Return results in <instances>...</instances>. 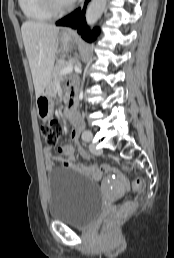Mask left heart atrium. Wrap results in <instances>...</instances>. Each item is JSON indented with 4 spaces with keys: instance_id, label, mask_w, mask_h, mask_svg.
I'll return each instance as SVG.
<instances>
[{
    "instance_id": "1",
    "label": "left heart atrium",
    "mask_w": 174,
    "mask_h": 258,
    "mask_svg": "<svg viewBox=\"0 0 174 258\" xmlns=\"http://www.w3.org/2000/svg\"><path fill=\"white\" fill-rule=\"evenodd\" d=\"M69 2H74L75 0H68Z\"/></svg>"
}]
</instances>
